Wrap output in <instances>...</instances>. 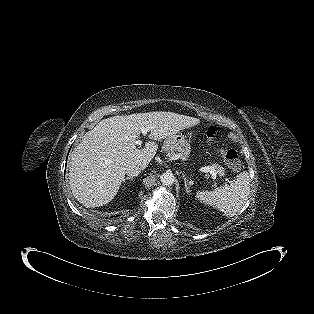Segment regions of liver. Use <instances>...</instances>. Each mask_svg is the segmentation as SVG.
Listing matches in <instances>:
<instances>
[{
  "mask_svg": "<svg viewBox=\"0 0 314 314\" xmlns=\"http://www.w3.org/2000/svg\"><path fill=\"white\" fill-rule=\"evenodd\" d=\"M197 124V118L162 111L103 119L71 153L69 184L74 197L87 208L103 206L116 196L127 166L137 163L146 168L158 145L136 147L142 128H150L151 140L161 141Z\"/></svg>",
  "mask_w": 314,
  "mask_h": 314,
  "instance_id": "obj_1",
  "label": "liver"
}]
</instances>
